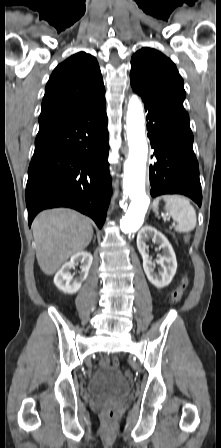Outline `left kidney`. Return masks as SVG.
Returning a JSON list of instances; mask_svg holds the SVG:
<instances>
[{"label":"left kidney","instance_id":"left-kidney-1","mask_svg":"<svg viewBox=\"0 0 221 448\" xmlns=\"http://www.w3.org/2000/svg\"><path fill=\"white\" fill-rule=\"evenodd\" d=\"M150 237L153 242L159 244V248L163 249V255L157 261V264L161 266L158 274L154 271L155 263L152 262L146 252L147 246L145 242ZM137 248L142 256L143 269L148 280L157 288H163L170 284L177 270V260L168 239L154 227L146 225L137 235Z\"/></svg>","mask_w":221,"mask_h":448}]
</instances>
